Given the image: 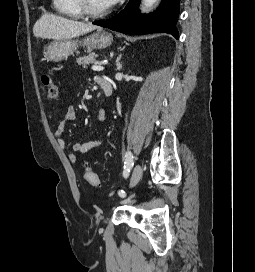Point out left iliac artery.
Returning a JSON list of instances; mask_svg holds the SVG:
<instances>
[{
	"label": "left iliac artery",
	"mask_w": 255,
	"mask_h": 272,
	"mask_svg": "<svg viewBox=\"0 0 255 272\" xmlns=\"http://www.w3.org/2000/svg\"><path fill=\"white\" fill-rule=\"evenodd\" d=\"M133 154L130 151H127L125 154V165H124V172H123V176L125 179L129 178V172L130 169L133 167ZM119 196L121 197H125V192L123 190H120L118 192Z\"/></svg>",
	"instance_id": "obj_1"
}]
</instances>
